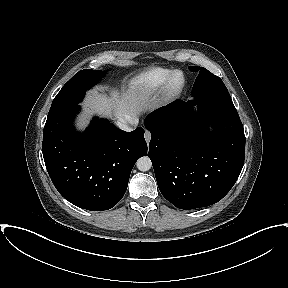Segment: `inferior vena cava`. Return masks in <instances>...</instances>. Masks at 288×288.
<instances>
[{"instance_id": "1", "label": "inferior vena cava", "mask_w": 288, "mask_h": 288, "mask_svg": "<svg viewBox=\"0 0 288 288\" xmlns=\"http://www.w3.org/2000/svg\"><path fill=\"white\" fill-rule=\"evenodd\" d=\"M137 123H138L137 120L131 122L132 125H137ZM117 126H118L121 130H124V131H131V130H132V128L128 126V122L125 121V120H119V121H117Z\"/></svg>"}]
</instances>
